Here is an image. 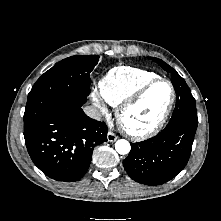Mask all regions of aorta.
Wrapping results in <instances>:
<instances>
[{"instance_id": "1", "label": "aorta", "mask_w": 221, "mask_h": 221, "mask_svg": "<svg viewBox=\"0 0 221 221\" xmlns=\"http://www.w3.org/2000/svg\"><path fill=\"white\" fill-rule=\"evenodd\" d=\"M115 149L119 154L125 155L129 153L131 149L130 143L125 139H120L115 143Z\"/></svg>"}]
</instances>
